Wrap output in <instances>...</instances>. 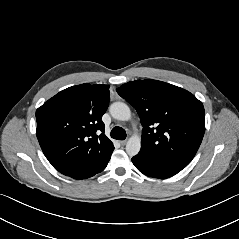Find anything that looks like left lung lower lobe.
<instances>
[{"label": "left lung lower lobe", "mask_w": 239, "mask_h": 239, "mask_svg": "<svg viewBox=\"0 0 239 239\" xmlns=\"http://www.w3.org/2000/svg\"><path fill=\"white\" fill-rule=\"evenodd\" d=\"M132 162L140 172L149 177L165 179L181 171V169L169 166L153 159L145 158L140 154L134 156L132 158Z\"/></svg>", "instance_id": "0a47b994"}]
</instances>
